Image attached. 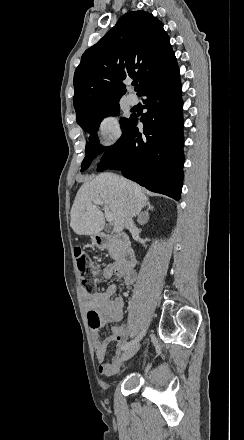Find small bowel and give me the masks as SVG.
<instances>
[{"label": "small bowel", "mask_w": 244, "mask_h": 440, "mask_svg": "<svg viewBox=\"0 0 244 440\" xmlns=\"http://www.w3.org/2000/svg\"><path fill=\"white\" fill-rule=\"evenodd\" d=\"M117 276L122 284L126 287H132L135 283V270L126 269L120 261L114 264L107 265L102 273V278L110 279ZM117 291L115 284L110 285L102 292L90 293L81 288V297L85 303L86 313L92 309L100 316V326L110 323H117L123 319L124 316V299L121 296L114 297ZM90 322V315H88ZM92 327V325H91ZM128 330L124 325H113L111 334L103 340L99 339L96 328L92 327L91 336L93 341V348L97 361L99 362V371L104 376H112L119 372L124 367L121 346L126 345V337ZM111 342L116 343L114 355L111 362H105L107 348Z\"/></svg>", "instance_id": "c3829d8e"}]
</instances>
